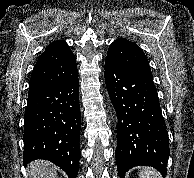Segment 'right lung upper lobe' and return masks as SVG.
I'll return each instance as SVG.
<instances>
[{"label": "right lung upper lobe", "mask_w": 194, "mask_h": 178, "mask_svg": "<svg viewBox=\"0 0 194 178\" xmlns=\"http://www.w3.org/2000/svg\"><path fill=\"white\" fill-rule=\"evenodd\" d=\"M77 72L76 59L67 43L58 40L50 43L38 58L29 89L67 80Z\"/></svg>", "instance_id": "cb5924a9"}]
</instances>
